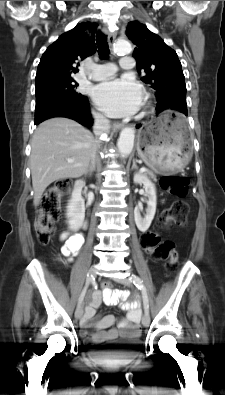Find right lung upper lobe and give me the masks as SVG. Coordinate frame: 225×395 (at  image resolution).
Returning a JSON list of instances; mask_svg holds the SVG:
<instances>
[{"label": "right lung upper lobe", "instance_id": "obj_1", "mask_svg": "<svg viewBox=\"0 0 225 395\" xmlns=\"http://www.w3.org/2000/svg\"><path fill=\"white\" fill-rule=\"evenodd\" d=\"M97 26L96 23H80L50 45L38 65L36 85L73 79L79 71V62L96 51L93 37ZM87 28L91 31V37L85 32Z\"/></svg>", "mask_w": 225, "mask_h": 395}]
</instances>
